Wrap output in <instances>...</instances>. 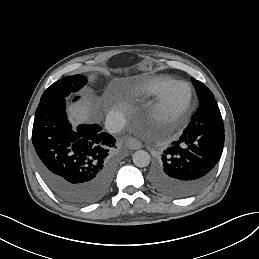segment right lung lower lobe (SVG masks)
<instances>
[{"instance_id":"obj_1","label":"right lung lower lobe","mask_w":259,"mask_h":259,"mask_svg":"<svg viewBox=\"0 0 259 259\" xmlns=\"http://www.w3.org/2000/svg\"><path fill=\"white\" fill-rule=\"evenodd\" d=\"M65 109V98L40 101L36 109L32 142L37 168L64 202L91 204L111 187L114 164L109 151L116 140L97 124L79 125L73 130Z\"/></svg>"}]
</instances>
